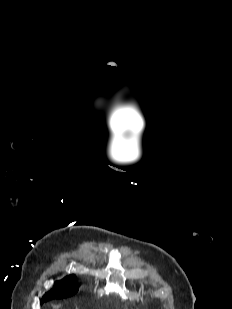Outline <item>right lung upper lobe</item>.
<instances>
[{
  "label": "right lung upper lobe",
  "mask_w": 232,
  "mask_h": 309,
  "mask_svg": "<svg viewBox=\"0 0 232 309\" xmlns=\"http://www.w3.org/2000/svg\"><path fill=\"white\" fill-rule=\"evenodd\" d=\"M76 282H77L76 276L75 275H70V276L65 277L63 280H60V281L56 282L55 285L60 287V286H62L64 284H71V283H75L76 284ZM76 289L78 291L77 287H76ZM68 297H70V296H68ZM61 298H67V297H64V296L53 297V299H61Z\"/></svg>",
  "instance_id": "cb5924a9"
}]
</instances>
